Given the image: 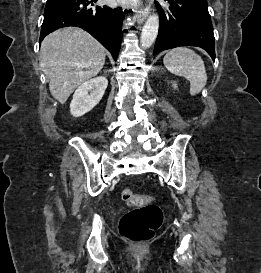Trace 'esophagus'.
Returning a JSON list of instances; mask_svg holds the SVG:
<instances>
[{
  "label": "esophagus",
  "mask_w": 261,
  "mask_h": 273,
  "mask_svg": "<svg viewBox=\"0 0 261 273\" xmlns=\"http://www.w3.org/2000/svg\"><path fill=\"white\" fill-rule=\"evenodd\" d=\"M148 13V8L146 7L145 9H140L136 12L135 18L139 24L143 23L147 17Z\"/></svg>",
  "instance_id": "esophagus-1"
}]
</instances>
